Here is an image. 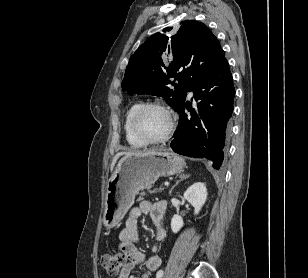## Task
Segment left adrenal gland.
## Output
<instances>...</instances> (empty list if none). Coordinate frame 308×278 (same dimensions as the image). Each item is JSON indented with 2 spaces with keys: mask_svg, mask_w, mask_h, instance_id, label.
Returning a JSON list of instances; mask_svg holds the SVG:
<instances>
[{
  "mask_svg": "<svg viewBox=\"0 0 308 278\" xmlns=\"http://www.w3.org/2000/svg\"><path fill=\"white\" fill-rule=\"evenodd\" d=\"M179 177H180V180H178V181L175 183V185L172 186V188H171L170 191H169V195H171L173 189H174L181 181H183V180L189 178L190 175L181 174Z\"/></svg>",
  "mask_w": 308,
  "mask_h": 278,
  "instance_id": "a2214340",
  "label": "left adrenal gland"
}]
</instances>
